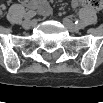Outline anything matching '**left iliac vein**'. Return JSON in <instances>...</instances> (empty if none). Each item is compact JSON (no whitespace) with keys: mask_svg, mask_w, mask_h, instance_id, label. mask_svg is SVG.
<instances>
[{"mask_svg":"<svg viewBox=\"0 0 103 103\" xmlns=\"http://www.w3.org/2000/svg\"><path fill=\"white\" fill-rule=\"evenodd\" d=\"M64 26L72 33L78 31V27L68 18H63L62 20Z\"/></svg>","mask_w":103,"mask_h":103,"instance_id":"left-iliac-vein-1","label":"left iliac vein"}]
</instances>
